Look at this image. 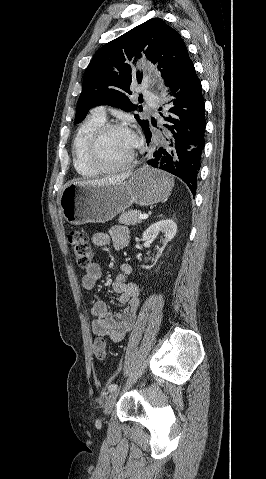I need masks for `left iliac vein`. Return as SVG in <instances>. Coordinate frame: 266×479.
<instances>
[{
	"label": "left iliac vein",
	"instance_id": "4c4485c4",
	"mask_svg": "<svg viewBox=\"0 0 266 479\" xmlns=\"http://www.w3.org/2000/svg\"><path fill=\"white\" fill-rule=\"evenodd\" d=\"M118 395H119L118 390H114L108 395V397L105 401V404H104V413L106 415H109L111 413L112 408H113V406H114V404H115V402L118 398Z\"/></svg>",
	"mask_w": 266,
	"mask_h": 479
}]
</instances>
